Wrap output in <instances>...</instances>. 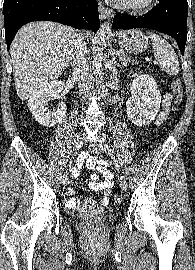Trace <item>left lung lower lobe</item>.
<instances>
[{
	"label": "left lung lower lobe",
	"instance_id": "obj_1",
	"mask_svg": "<svg viewBox=\"0 0 195 270\" xmlns=\"http://www.w3.org/2000/svg\"><path fill=\"white\" fill-rule=\"evenodd\" d=\"M159 3L147 14L132 17L115 15L112 28H148L173 37L184 55L187 40V0H158Z\"/></svg>",
	"mask_w": 195,
	"mask_h": 270
}]
</instances>
